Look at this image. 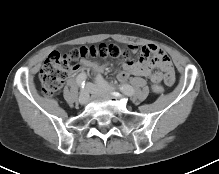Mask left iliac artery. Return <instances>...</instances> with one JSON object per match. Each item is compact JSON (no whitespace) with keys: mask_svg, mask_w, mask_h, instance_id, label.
<instances>
[{"mask_svg":"<svg viewBox=\"0 0 219 174\" xmlns=\"http://www.w3.org/2000/svg\"><path fill=\"white\" fill-rule=\"evenodd\" d=\"M95 82L99 85L107 86L108 83L102 78V76L98 75L96 77ZM119 89L121 92H123L125 95L131 96L134 94V89L132 86L128 84L120 85Z\"/></svg>","mask_w":219,"mask_h":174,"instance_id":"left-iliac-artery-1","label":"left iliac artery"}]
</instances>
